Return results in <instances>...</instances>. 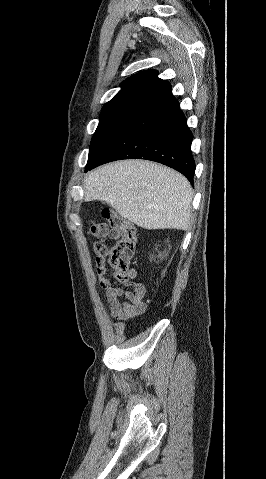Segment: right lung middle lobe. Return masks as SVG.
<instances>
[{
    "label": "right lung middle lobe",
    "mask_w": 266,
    "mask_h": 479,
    "mask_svg": "<svg viewBox=\"0 0 266 479\" xmlns=\"http://www.w3.org/2000/svg\"><path fill=\"white\" fill-rule=\"evenodd\" d=\"M137 113L138 112L133 111H121L100 114V122L91 141L86 168L94 162L109 141L134 118Z\"/></svg>",
    "instance_id": "dd1d6c3e"
}]
</instances>
